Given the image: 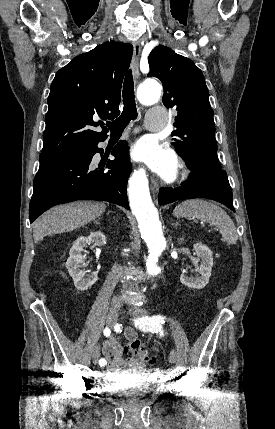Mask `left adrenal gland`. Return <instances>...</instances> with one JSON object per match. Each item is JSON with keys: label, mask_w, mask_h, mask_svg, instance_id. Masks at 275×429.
I'll return each instance as SVG.
<instances>
[{"label": "left adrenal gland", "mask_w": 275, "mask_h": 429, "mask_svg": "<svg viewBox=\"0 0 275 429\" xmlns=\"http://www.w3.org/2000/svg\"><path fill=\"white\" fill-rule=\"evenodd\" d=\"M175 227H177L178 225H179V223L178 222H176V223H174L173 224Z\"/></svg>", "instance_id": "a2214340"}]
</instances>
